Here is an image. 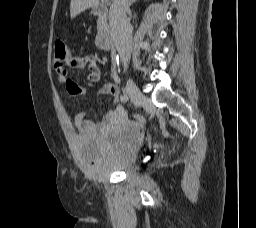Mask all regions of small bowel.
Wrapping results in <instances>:
<instances>
[{
	"mask_svg": "<svg viewBox=\"0 0 256 228\" xmlns=\"http://www.w3.org/2000/svg\"><path fill=\"white\" fill-rule=\"evenodd\" d=\"M54 67L57 71V81L62 83L72 96H82L87 91L68 74L67 68L86 69V79L89 82H98L102 76L101 68L97 64V59L94 55L80 56L71 53L69 60L65 64L59 65L54 61ZM119 93L120 89L117 84L105 83L99 94L111 95L115 98L112 109L99 122L86 119V112H81L75 118L76 127L84 133H107L115 126L127 123L128 115L119 103Z\"/></svg>",
	"mask_w": 256,
	"mask_h": 228,
	"instance_id": "1",
	"label": "small bowel"
}]
</instances>
